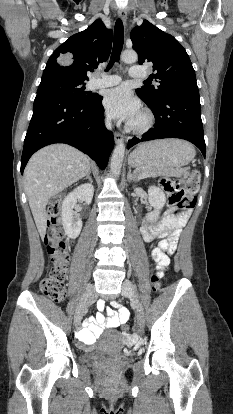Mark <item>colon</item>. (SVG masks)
Wrapping results in <instances>:
<instances>
[{"label":"colon","instance_id":"colon-1","mask_svg":"<svg viewBox=\"0 0 233 414\" xmlns=\"http://www.w3.org/2000/svg\"><path fill=\"white\" fill-rule=\"evenodd\" d=\"M200 173L193 170L187 181L178 179L162 178L160 184L169 195V202L175 204L173 212L176 218H187L196 202V193L199 188ZM61 202L53 199L48 205V225L45 234V244L51 259V267L48 275L41 282L42 292L50 299L58 302L65 296V282L68 278L67 262L69 260V244L64 239L61 230ZM174 242L170 241L168 251L173 249ZM160 256L158 250H153L152 258L155 261ZM152 288H159L158 277H151ZM125 334L130 333L128 326L123 327Z\"/></svg>","mask_w":233,"mask_h":414}]
</instances>
